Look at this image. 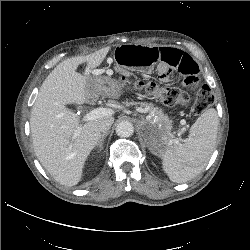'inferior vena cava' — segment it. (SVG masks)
I'll return each instance as SVG.
<instances>
[{
	"label": "inferior vena cava",
	"instance_id": "1",
	"mask_svg": "<svg viewBox=\"0 0 250 250\" xmlns=\"http://www.w3.org/2000/svg\"><path fill=\"white\" fill-rule=\"evenodd\" d=\"M113 122H114V119H113V118L103 120V121L99 124V131H100V132H103V133L108 132L109 129L111 128Z\"/></svg>",
	"mask_w": 250,
	"mask_h": 250
}]
</instances>
